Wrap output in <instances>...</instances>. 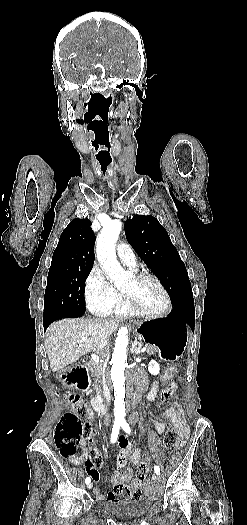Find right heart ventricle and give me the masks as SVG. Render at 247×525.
<instances>
[{
  "instance_id": "e07e8e85",
  "label": "right heart ventricle",
  "mask_w": 247,
  "mask_h": 525,
  "mask_svg": "<svg viewBox=\"0 0 247 525\" xmlns=\"http://www.w3.org/2000/svg\"><path fill=\"white\" fill-rule=\"evenodd\" d=\"M130 271V270H128ZM133 276L132 271H130ZM106 317H135L134 309L128 304H118L114 306L106 315Z\"/></svg>"
}]
</instances>
